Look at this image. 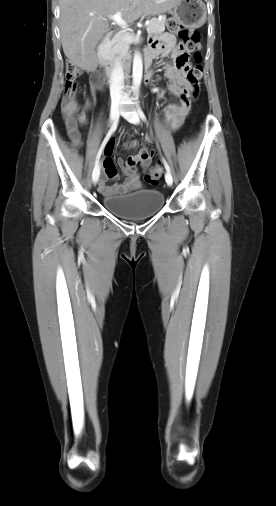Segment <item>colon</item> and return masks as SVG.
I'll use <instances>...</instances> for the list:
<instances>
[{
    "label": "colon",
    "instance_id": "5ec220e1",
    "mask_svg": "<svg viewBox=\"0 0 276 506\" xmlns=\"http://www.w3.org/2000/svg\"><path fill=\"white\" fill-rule=\"evenodd\" d=\"M167 28L170 32L178 35L182 45L187 51L194 53L196 64L188 69L186 74V80L190 84L191 90L189 93L182 96L183 103L188 106L191 105L192 100L197 98L200 93V81L202 78L200 35L197 31L183 29L179 21L173 17L168 20ZM79 76L80 70L75 65L68 64L66 69V85L61 103L66 128L75 146L80 145L78 125L82 116L77 103V80ZM140 156L145 157L146 154L141 153ZM161 175L162 168L160 166H155L144 174V180L147 183L155 184L158 182Z\"/></svg>",
    "mask_w": 276,
    "mask_h": 506
}]
</instances>
